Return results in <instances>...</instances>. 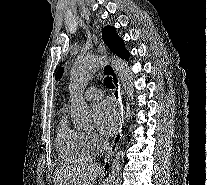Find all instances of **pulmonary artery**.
Here are the masks:
<instances>
[{
	"label": "pulmonary artery",
	"instance_id": "1",
	"mask_svg": "<svg viewBox=\"0 0 207 185\" xmlns=\"http://www.w3.org/2000/svg\"><path fill=\"white\" fill-rule=\"evenodd\" d=\"M102 96H103V91L95 87H91L87 89V93H85V98L87 100H97Z\"/></svg>",
	"mask_w": 207,
	"mask_h": 185
}]
</instances>
